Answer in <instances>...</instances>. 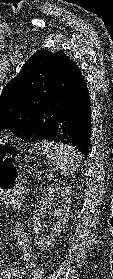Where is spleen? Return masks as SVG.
<instances>
[{"instance_id": "obj_1", "label": "spleen", "mask_w": 113, "mask_h": 279, "mask_svg": "<svg viewBox=\"0 0 113 279\" xmlns=\"http://www.w3.org/2000/svg\"><path fill=\"white\" fill-rule=\"evenodd\" d=\"M36 146L42 150L47 160L55 164L63 176L71 175L80 166L82 155L71 146L44 141L38 142Z\"/></svg>"}]
</instances>
